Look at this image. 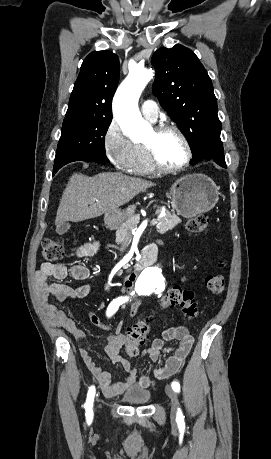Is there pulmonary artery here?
<instances>
[{
	"label": "pulmonary artery",
	"mask_w": 271,
	"mask_h": 459,
	"mask_svg": "<svg viewBox=\"0 0 271 459\" xmlns=\"http://www.w3.org/2000/svg\"><path fill=\"white\" fill-rule=\"evenodd\" d=\"M159 112H160L159 106L153 100H146L141 105V113L146 119L152 122L156 121V119L158 118Z\"/></svg>",
	"instance_id": "pulmonary-artery-1"
}]
</instances>
